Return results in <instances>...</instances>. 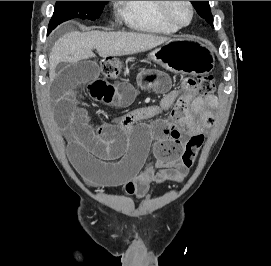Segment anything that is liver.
<instances>
[{
  "label": "liver",
  "instance_id": "liver-1",
  "mask_svg": "<svg viewBox=\"0 0 271 266\" xmlns=\"http://www.w3.org/2000/svg\"><path fill=\"white\" fill-rule=\"evenodd\" d=\"M168 37L133 32H71L63 35L54 44L49 56V79L56 76V62H78L94 57L93 49L99 56L130 55L155 48L167 41Z\"/></svg>",
  "mask_w": 271,
  "mask_h": 266
}]
</instances>
